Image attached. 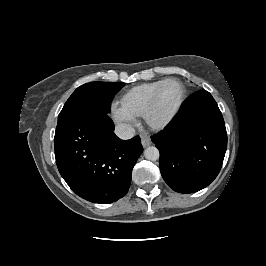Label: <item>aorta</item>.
Wrapping results in <instances>:
<instances>
[{
	"mask_svg": "<svg viewBox=\"0 0 266 266\" xmlns=\"http://www.w3.org/2000/svg\"><path fill=\"white\" fill-rule=\"evenodd\" d=\"M144 156L147 160L156 161L159 159V150L155 146H149L144 150Z\"/></svg>",
	"mask_w": 266,
	"mask_h": 266,
	"instance_id": "1",
	"label": "aorta"
}]
</instances>
